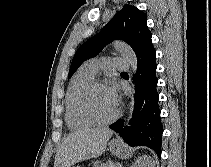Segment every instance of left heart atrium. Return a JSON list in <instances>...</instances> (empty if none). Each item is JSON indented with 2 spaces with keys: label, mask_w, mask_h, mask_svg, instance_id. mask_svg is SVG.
I'll list each match as a JSON object with an SVG mask.
<instances>
[{
  "label": "left heart atrium",
  "mask_w": 211,
  "mask_h": 167,
  "mask_svg": "<svg viewBox=\"0 0 211 167\" xmlns=\"http://www.w3.org/2000/svg\"><path fill=\"white\" fill-rule=\"evenodd\" d=\"M107 92L111 98V100L113 101V103L115 105H117V101H118V92H117V87L115 84H110L109 86L106 87Z\"/></svg>",
  "instance_id": "1"
}]
</instances>
